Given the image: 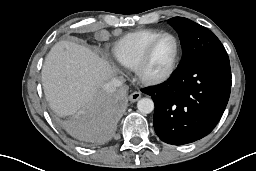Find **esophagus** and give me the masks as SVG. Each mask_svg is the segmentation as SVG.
Listing matches in <instances>:
<instances>
[{
  "instance_id": "34e87169",
  "label": "esophagus",
  "mask_w": 256,
  "mask_h": 171,
  "mask_svg": "<svg viewBox=\"0 0 256 171\" xmlns=\"http://www.w3.org/2000/svg\"><path fill=\"white\" fill-rule=\"evenodd\" d=\"M140 97H141V92L134 91L133 93L130 94L129 100L134 103V102L138 101L140 99Z\"/></svg>"
}]
</instances>
